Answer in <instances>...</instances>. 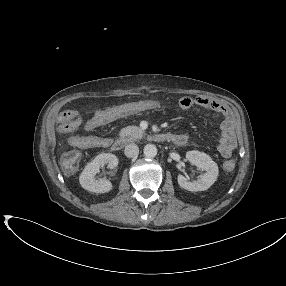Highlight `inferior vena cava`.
I'll return each mask as SVG.
<instances>
[{
    "instance_id": "602c4592",
    "label": "inferior vena cava",
    "mask_w": 286,
    "mask_h": 286,
    "mask_svg": "<svg viewBox=\"0 0 286 286\" xmlns=\"http://www.w3.org/2000/svg\"><path fill=\"white\" fill-rule=\"evenodd\" d=\"M139 153V148L136 144L131 143L125 147L124 154L128 158L136 157Z\"/></svg>"
}]
</instances>
